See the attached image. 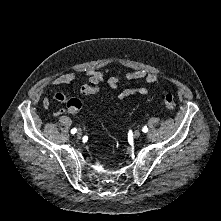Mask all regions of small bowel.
I'll use <instances>...</instances> for the list:
<instances>
[{
  "instance_id": "obj_1",
  "label": "small bowel",
  "mask_w": 221,
  "mask_h": 221,
  "mask_svg": "<svg viewBox=\"0 0 221 221\" xmlns=\"http://www.w3.org/2000/svg\"><path fill=\"white\" fill-rule=\"evenodd\" d=\"M86 75H87L89 84L98 85L104 80V73L96 69L88 70L86 72ZM75 79H76L75 72H66V73H62L54 77L51 80L50 84L52 86H61V85L69 84L73 82ZM123 79L127 81H141L145 84L157 83L159 81V77L156 74L150 73L145 70H138V71L127 72L123 78L118 77V76H110L107 78V84L111 88L115 89L120 86ZM137 94L148 95L149 90L146 87H126L120 91V93L118 94V99L123 100V99L129 98ZM71 99H72L71 97L61 92H56L52 96L53 101L66 103L70 111H72V109L69 107V102L71 101ZM42 105L45 109L49 108L51 105V99L44 98ZM63 112H64L63 109H57L54 112V116H59L63 114Z\"/></svg>"
}]
</instances>
